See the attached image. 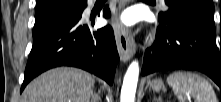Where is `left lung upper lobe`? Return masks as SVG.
<instances>
[{
  "label": "left lung upper lobe",
  "mask_w": 221,
  "mask_h": 102,
  "mask_svg": "<svg viewBox=\"0 0 221 102\" xmlns=\"http://www.w3.org/2000/svg\"><path fill=\"white\" fill-rule=\"evenodd\" d=\"M169 9L160 13L159 19L166 20L170 15L185 12L202 22L214 26V5L212 0H165Z\"/></svg>",
  "instance_id": "5c2ea615"
}]
</instances>
